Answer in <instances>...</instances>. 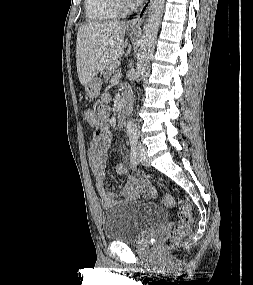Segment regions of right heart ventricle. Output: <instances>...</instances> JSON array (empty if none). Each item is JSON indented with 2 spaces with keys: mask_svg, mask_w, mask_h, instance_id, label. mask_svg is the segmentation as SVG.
Returning <instances> with one entry per match:
<instances>
[{
  "mask_svg": "<svg viewBox=\"0 0 253 285\" xmlns=\"http://www.w3.org/2000/svg\"><path fill=\"white\" fill-rule=\"evenodd\" d=\"M84 8L87 20L92 22L112 20L122 14L114 0H84Z\"/></svg>",
  "mask_w": 253,
  "mask_h": 285,
  "instance_id": "e07e8e85",
  "label": "right heart ventricle"
}]
</instances>
